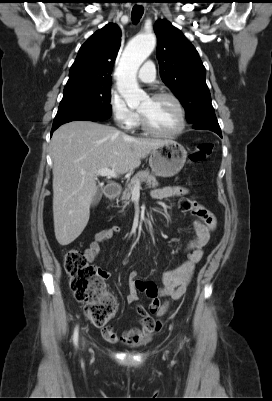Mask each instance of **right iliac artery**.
Returning <instances> with one entry per match:
<instances>
[{
    "mask_svg": "<svg viewBox=\"0 0 272 401\" xmlns=\"http://www.w3.org/2000/svg\"><path fill=\"white\" fill-rule=\"evenodd\" d=\"M73 342H74L75 345H77V342H78V327H76L75 330H74Z\"/></svg>",
    "mask_w": 272,
    "mask_h": 401,
    "instance_id": "1",
    "label": "right iliac artery"
}]
</instances>
